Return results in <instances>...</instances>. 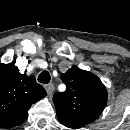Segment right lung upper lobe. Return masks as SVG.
I'll return each mask as SVG.
<instances>
[{"label": "right lung upper lobe", "mask_w": 130, "mask_h": 130, "mask_svg": "<svg viewBox=\"0 0 130 130\" xmlns=\"http://www.w3.org/2000/svg\"><path fill=\"white\" fill-rule=\"evenodd\" d=\"M46 96L35 77H27L13 64H0V127L22 124L31 105Z\"/></svg>", "instance_id": "cb5924a9"}]
</instances>
